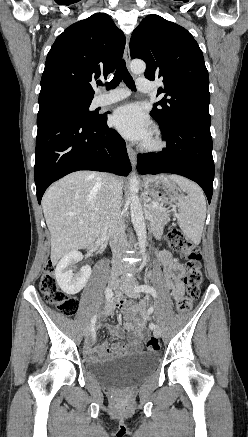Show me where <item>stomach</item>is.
Wrapping results in <instances>:
<instances>
[{
  "mask_svg": "<svg viewBox=\"0 0 248 437\" xmlns=\"http://www.w3.org/2000/svg\"><path fill=\"white\" fill-rule=\"evenodd\" d=\"M146 193L156 202L171 208L178 204V194L174 183L166 175L146 176L143 180Z\"/></svg>",
  "mask_w": 248,
  "mask_h": 437,
  "instance_id": "stomach-1",
  "label": "stomach"
}]
</instances>
